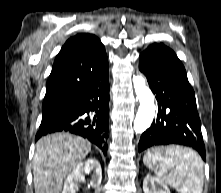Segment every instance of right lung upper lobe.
<instances>
[{"instance_id":"obj_1","label":"right lung upper lobe","mask_w":221,"mask_h":193,"mask_svg":"<svg viewBox=\"0 0 221 193\" xmlns=\"http://www.w3.org/2000/svg\"><path fill=\"white\" fill-rule=\"evenodd\" d=\"M107 61L104 45L95 35L80 33L71 37L56 56L44 102L72 99Z\"/></svg>"}]
</instances>
